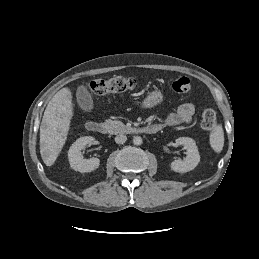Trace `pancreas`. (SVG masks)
I'll return each mask as SVG.
<instances>
[{
	"instance_id": "pancreas-1",
	"label": "pancreas",
	"mask_w": 259,
	"mask_h": 259,
	"mask_svg": "<svg viewBox=\"0 0 259 259\" xmlns=\"http://www.w3.org/2000/svg\"><path fill=\"white\" fill-rule=\"evenodd\" d=\"M104 126L110 134L127 133L130 128L124 125L121 121L107 119Z\"/></svg>"
}]
</instances>
